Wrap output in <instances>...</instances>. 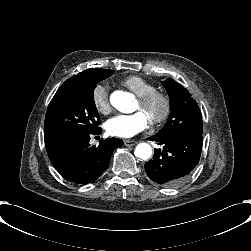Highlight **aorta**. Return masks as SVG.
Listing matches in <instances>:
<instances>
[{"instance_id":"1","label":"aorta","mask_w":251,"mask_h":251,"mask_svg":"<svg viewBox=\"0 0 251 251\" xmlns=\"http://www.w3.org/2000/svg\"><path fill=\"white\" fill-rule=\"evenodd\" d=\"M134 97L128 92L116 91L111 96V103L121 113H128L131 110V104ZM135 156L142 160H147L152 155V148L146 142H140L135 147Z\"/></svg>"}]
</instances>
